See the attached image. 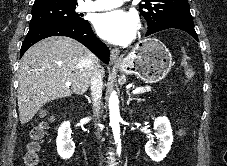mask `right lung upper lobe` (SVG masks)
<instances>
[{
	"mask_svg": "<svg viewBox=\"0 0 227 166\" xmlns=\"http://www.w3.org/2000/svg\"><path fill=\"white\" fill-rule=\"evenodd\" d=\"M48 2L77 3V0H35L34 5Z\"/></svg>",
	"mask_w": 227,
	"mask_h": 166,
	"instance_id": "right-lung-upper-lobe-1",
	"label": "right lung upper lobe"
}]
</instances>
